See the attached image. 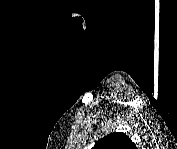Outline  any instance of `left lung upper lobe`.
I'll return each mask as SVG.
<instances>
[{
  "mask_svg": "<svg viewBox=\"0 0 177 149\" xmlns=\"http://www.w3.org/2000/svg\"><path fill=\"white\" fill-rule=\"evenodd\" d=\"M135 144L122 132H114L103 137L93 149H134Z\"/></svg>",
  "mask_w": 177,
  "mask_h": 149,
  "instance_id": "obj_1",
  "label": "left lung upper lobe"
}]
</instances>
